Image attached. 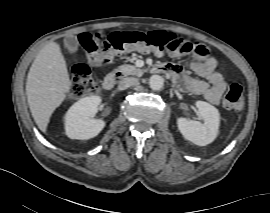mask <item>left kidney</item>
Instances as JSON below:
<instances>
[{"mask_svg": "<svg viewBox=\"0 0 270 213\" xmlns=\"http://www.w3.org/2000/svg\"><path fill=\"white\" fill-rule=\"evenodd\" d=\"M195 105L204 123L180 117L177 119V126L185 139L198 146H206L218 135L220 114L217 108L207 102L197 101Z\"/></svg>", "mask_w": 270, "mask_h": 213, "instance_id": "5707ae66", "label": "left kidney"}]
</instances>
